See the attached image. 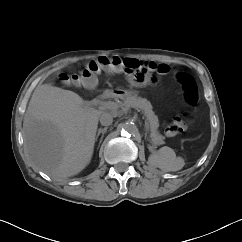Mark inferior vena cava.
I'll return each instance as SVG.
<instances>
[{"label": "inferior vena cava", "instance_id": "obj_1", "mask_svg": "<svg viewBox=\"0 0 242 242\" xmlns=\"http://www.w3.org/2000/svg\"><path fill=\"white\" fill-rule=\"evenodd\" d=\"M113 122V116L110 113L104 112L100 115V123L103 126H109Z\"/></svg>", "mask_w": 242, "mask_h": 242}]
</instances>
